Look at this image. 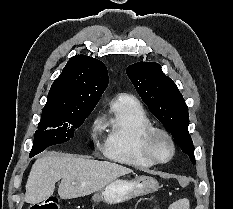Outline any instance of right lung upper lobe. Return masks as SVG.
<instances>
[{
  "label": "right lung upper lobe",
  "mask_w": 233,
  "mask_h": 209,
  "mask_svg": "<svg viewBox=\"0 0 233 209\" xmlns=\"http://www.w3.org/2000/svg\"><path fill=\"white\" fill-rule=\"evenodd\" d=\"M108 81L103 62L85 55L73 56L52 84L42 114H59L72 108L96 106Z\"/></svg>",
  "instance_id": "cb5924a9"
}]
</instances>
